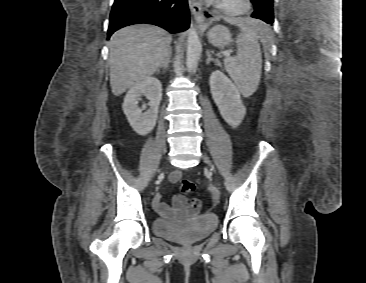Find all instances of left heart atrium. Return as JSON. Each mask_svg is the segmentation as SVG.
<instances>
[{
	"instance_id": "1",
	"label": "left heart atrium",
	"mask_w": 366,
	"mask_h": 283,
	"mask_svg": "<svg viewBox=\"0 0 366 283\" xmlns=\"http://www.w3.org/2000/svg\"><path fill=\"white\" fill-rule=\"evenodd\" d=\"M211 1H220V0H211Z\"/></svg>"
}]
</instances>
